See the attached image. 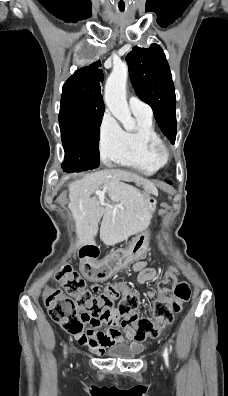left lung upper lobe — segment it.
I'll use <instances>...</instances> for the list:
<instances>
[{
  "label": "left lung upper lobe",
  "mask_w": 228,
  "mask_h": 396,
  "mask_svg": "<svg viewBox=\"0 0 228 396\" xmlns=\"http://www.w3.org/2000/svg\"><path fill=\"white\" fill-rule=\"evenodd\" d=\"M131 83L137 96L153 109L155 119L173 143L176 138V97L168 62L162 48L134 47L127 54Z\"/></svg>",
  "instance_id": "5c2ea615"
}]
</instances>
